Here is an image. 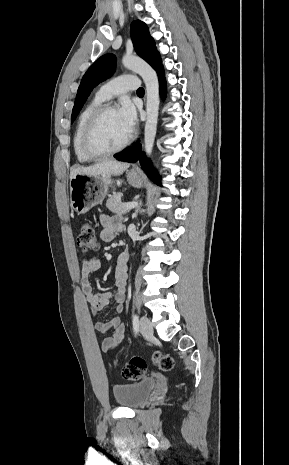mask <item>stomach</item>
I'll return each instance as SVG.
<instances>
[{
	"mask_svg": "<svg viewBox=\"0 0 289 465\" xmlns=\"http://www.w3.org/2000/svg\"><path fill=\"white\" fill-rule=\"evenodd\" d=\"M127 181L134 187H140L142 177L136 172H127ZM114 183L111 176L78 174L70 178L71 208L77 214H85L92 207L101 204Z\"/></svg>",
	"mask_w": 289,
	"mask_h": 465,
	"instance_id": "obj_1",
	"label": "stomach"
}]
</instances>
